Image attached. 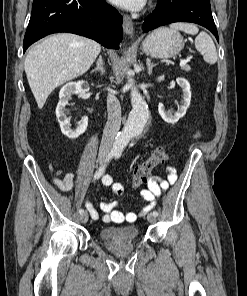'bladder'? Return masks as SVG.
Returning a JSON list of instances; mask_svg holds the SVG:
<instances>
[{"mask_svg":"<svg viewBox=\"0 0 247 296\" xmlns=\"http://www.w3.org/2000/svg\"><path fill=\"white\" fill-rule=\"evenodd\" d=\"M99 236L106 242L130 241L135 240L139 236V228L134 224L118 227H105L100 230Z\"/></svg>","mask_w":247,"mask_h":296,"instance_id":"bladder-1","label":"bladder"}]
</instances>
